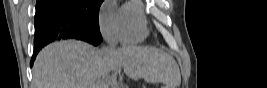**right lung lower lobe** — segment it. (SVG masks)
<instances>
[{
	"label": "right lung lower lobe",
	"mask_w": 267,
	"mask_h": 88,
	"mask_svg": "<svg viewBox=\"0 0 267 88\" xmlns=\"http://www.w3.org/2000/svg\"><path fill=\"white\" fill-rule=\"evenodd\" d=\"M36 8L32 60L43 46L56 39H79L95 46L101 43L102 37L99 30L90 29L83 22L76 21L56 9L46 8L43 5Z\"/></svg>",
	"instance_id": "98d812e1"
}]
</instances>
